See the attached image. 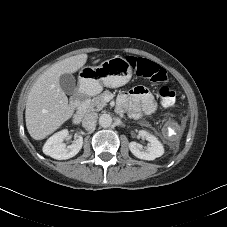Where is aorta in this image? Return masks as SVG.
Wrapping results in <instances>:
<instances>
[{
    "instance_id": "762f6f07",
    "label": "aorta",
    "mask_w": 227,
    "mask_h": 227,
    "mask_svg": "<svg viewBox=\"0 0 227 227\" xmlns=\"http://www.w3.org/2000/svg\"><path fill=\"white\" fill-rule=\"evenodd\" d=\"M112 124V117L109 114H102L99 117V125L101 127H109Z\"/></svg>"
}]
</instances>
